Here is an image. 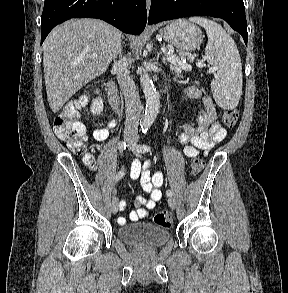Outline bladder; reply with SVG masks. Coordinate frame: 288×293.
<instances>
[{
	"instance_id": "bladder-1",
	"label": "bladder",
	"mask_w": 288,
	"mask_h": 293,
	"mask_svg": "<svg viewBox=\"0 0 288 293\" xmlns=\"http://www.w3.org/2000/svg\"><path fill=\"white\" fill-rule=\"evenodd\" d=\"M118 235L128 244L148 249L162 246L170 238L167 229L147 222L124 225Z\"/></svg>"
}]
</instances>
